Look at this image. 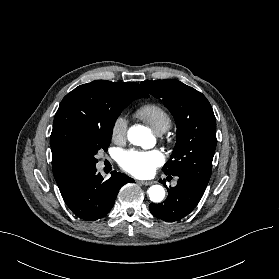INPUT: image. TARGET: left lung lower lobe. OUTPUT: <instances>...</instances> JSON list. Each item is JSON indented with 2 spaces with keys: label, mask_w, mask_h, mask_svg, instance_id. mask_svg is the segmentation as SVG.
<instances>
[{
  "label": "left lung lower lobe",
  "mask_w": 279,
  "mask_h": 279,
  "mask_svg": "<svg viewBox=\"0 0 279 279\" xmlns=\"http://www.w3.org/2000/svg\"><path fill=\"white\" fill-rule=\"evenodd\" d=\"M175 187L168 189L164 203L149 206L150 212L166 222H175L187 216L202 198L207 184L189 176H178ZM162 182H165L163 180Z\"/></svg>",
  "instance_id": "0a47b994"
}]
</instances>
